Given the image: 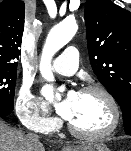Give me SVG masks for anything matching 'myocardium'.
Instances as JSON below:
<instances>
[{"label": "myocardium", "mask_w": 131, "mask_h": 151, "mask_svg": "<svg viewBox=\"0 0 131 151\" xmlns=\"http://www.w3.org/2000/svg\"><path fill=\"white\" fill-rule=\"evenodd\" d=\"M80 93L81 94L96 93L104 97L111 109V113H112L111 123L103 131L84 132L74 127L69 121L67 124L69 132L75 137H78L83 140H102L111 136L118 128L120 119H121L120 107L116 98L113 96V94L109 90H107L106 88L100 85L85 86L80 90Z\"/></svg>", "instance_id": "1"}]
</instances>
